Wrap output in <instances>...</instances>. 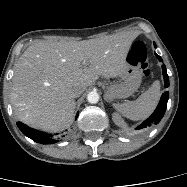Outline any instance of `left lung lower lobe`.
I'll return each mask as SVG.
<instances>
[{
	"mask_svg": "<svg viewBox=\"0 0 187 187\" xmlns=\"http://www.w3.org/2000/svg\"><path fill=\"white\" fill-rule=\"evenodd\" d=\"M156 57L159 59V61L163 62L162 58L155 53ZM163 70V76H164V87L167 88L169 86V77L167 75L166 66L162 65ZM169 98V92H165L162 94L161 99L159 101V104L153 114L146 119L140 126H138L136 129H148L160 122V120L163 118L166 108H167V102Z\"/></svg>",
	"mask_w": 187,
	"mask_h": 187,
	"instance_id": "left-lung-lower-lobe-1",
	"label": "left lung lower lobe"
}]
</instances>
